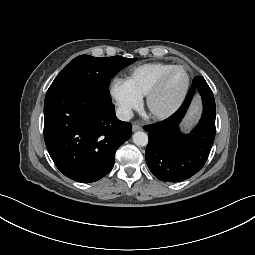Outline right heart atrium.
Segmentation results:
<instances>
[{"mask_svg": "<svg viewBox=\"0 0 255 255\" xmlns=\"http://www.w3.org/2000/svg\"><path fill=\"white\" fill-rule=\"evenodd\" d=\"M109 91L123 117H129L141 103V96L132 90L126 80L115 78Z\"/></svg>", "mask_w": 255, "mask_h": 255, "instance_id": "d8ad5b80", "label": "right heart atrium"}]
</instances>
